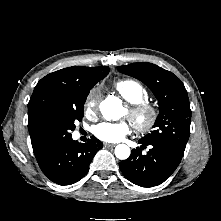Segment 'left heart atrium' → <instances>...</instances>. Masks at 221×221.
<instances>
[{
    "label": "left heart atrium",
    "instance_id": "39dd6f15",
    "mask_svg": "<svg viewBox=\"0 0 221 221\" xmlns=\"http://www.w3.org/2000/svg\"><path fill=\"white\" fill-rule=\"evenodd\" d=\"M130 132V125L126 122H101L94 126L93 134L105 142H119Z\"/></svg>",
    "mask_w": 221,
    "mask_h": 221
}]
</instances>
